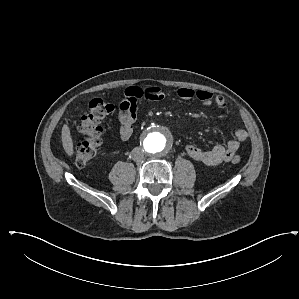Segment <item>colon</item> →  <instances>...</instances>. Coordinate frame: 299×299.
I'll return each instance as SVG.
<instances>
[{
	"label": "colon",
	"mask_w": 299,
	"mask_h": 299,
	"mask_svg": "<svg viewBox=\"0 0 299 299\" xmlns=\"http://www.w3.org/2000/svg\"><path fill=\"white\" fill-rule=\"evenodd\" d=\"M112 111L113 107L101 99H94L90 102L88 111L82 115L78 123V129L85 139L75 149L77 166L83 167L96 157L102 145L103 129L100 123ZM231 161L238 164L241 157L235 155Z\"/></svg>",
	"instance_id": "obj_1"
}]
</instances>
